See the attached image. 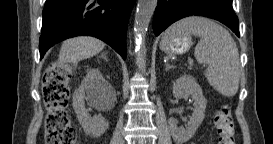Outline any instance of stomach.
Listing matches in <instances>:
<instances>
[{"mask_svg": "<svg viewBox=\"0 0 273 144\" xmlns=\"http://www.w3.org/2000/svg\"><path fill=\"white\" fill-rule=\"evenodd\" d=\"M192 39L185 34H178L170 38L163 36L160 48L169 54H183L192 46Z\"/></svg>", "mask_w": 273, "mask_h": 144, "instance_id": "obj_1", "label": "stomach"}]
</instances>
